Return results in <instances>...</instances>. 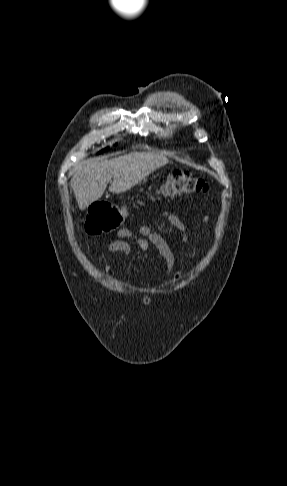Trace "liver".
Masks as SVG:
<instances>
[{
	"label": "liver",
	"instance_id": "6515ba94",
	"mask_svg": "<svg viewBox=\"0 0 287 486\" xmlns=\"http://www.w3.org/2000/svg\"><path fill=\"white\" fill-rule=\"evenodd\" d=\"M169 162L156 153L134 152L111 160L96 158L79 165L70 181L76 201L81 210L88 208L104 194L113 178L109 191L125 192L157 168Z\"/></svg>",
	"mask_w": 287,
	"mask_h": 486
}]
</instances>
